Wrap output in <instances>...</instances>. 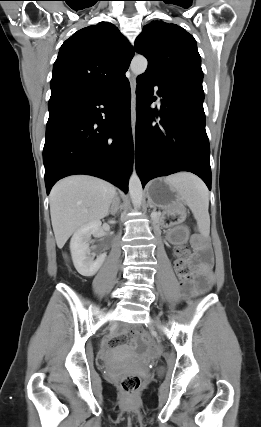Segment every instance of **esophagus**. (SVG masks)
<instances>
[{
  "mask_svg": "<svg viewBox=\"0 0 261 427\" xmlns=\"http://www.w3.org/2000/svg\"><path fill=\"white\" fill-rule=\"evenodd\" d=\"M130 86H131V128L133 138L135 136V124H136V79L135 76H131L130 78Z\"/></svg>",
  "mask_w": 261,
  "mask_h": 427,
  "instance_id": "esophagus-1",
  "label": "esophagus"
}]
</instances>
